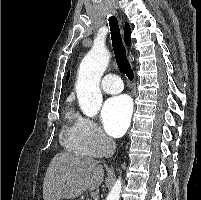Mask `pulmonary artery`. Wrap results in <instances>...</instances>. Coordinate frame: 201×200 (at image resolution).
<instances>
[{"instance_id":"obj_1","label":"pulmonary artery","mask_w":201,"mask_h":200,"mask_svg":"<svg viewBox=\"0 0 201 200\" xmlns=\"http://www.w3.org/2000/svg\"><path fill=\"white\" fill-rule=\"evenodd\" d=\"M101 88L108 94H117L123 90V85L119 76L110 73L103 77Z\"/></svg>"}]
</instances>
